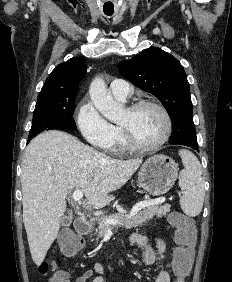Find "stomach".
I'll return each mask as SVG.
<instances>
[{
    "label": "stomach",
    "mask_w": 232,
    "mask_h": 282,
    "mask_svg": "<svg viewBox=\"0 0 232 282\" xmlns=\"http://www.w3.org/2000/svg\"><path fill=\"white\" fill-rule=\"evenodd\" d=\"M178 177V164L165 155H154L142 164L138 171L139 185L150 195L165 194Z\"/></svg>",
    "instance_id": "obj_1"
}]
</instances>
